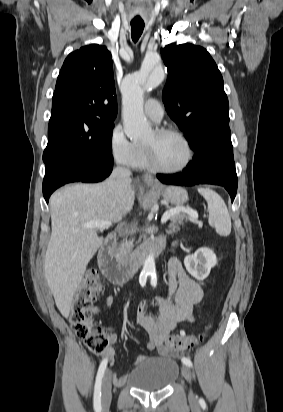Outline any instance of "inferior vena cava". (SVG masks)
<instances>
[{
	"label": "inferior vena cava",
	"mask_w": 283,
	"mask_h": 412,
	"mask_svg": "<svg viewBox=\"0 0 283 412\" xmlns=\"http://www.w3.org/2000/svg\"><path fill=\"white\" fill-rule=\"evenodd\" d=\"M130 175H131V171H130L129 169H127V168H125V167L117 166V167L113 170L110 178H111V179H124V180H128V179H130ZM121 228H122V230H123V232H124L125 235H127V234L129 233V232H128V229H127L124 225H122Z\"/></svg>",
	"instance_id": "602c4592"
}]
</instances>
